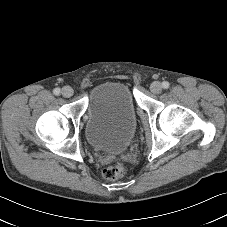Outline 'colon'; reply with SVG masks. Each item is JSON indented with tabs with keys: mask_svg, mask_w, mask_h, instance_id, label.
<instances>
[{
	"mask_svg": "<svg viewBox=\"0 0 227 227\" xmlns=\"http://www.w3.org/2000/svg\"><path fill=\"white\" fill-rule=\"evenodd\" d=\"M124 169L121 165H110L103 169L102 175L106 180H117L122 177Z\"/></svg>",
	"mask_w": 227,
	"mask_h": 227,
	"instance_id": "5ec220e1",
	"label": "colon"
}]
</instances>
